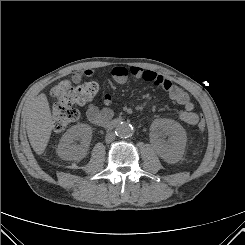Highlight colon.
<instances>
[{"mask_svg":"<svg viewBox=\"0 0 245 245\" xmlns=\"http://www.w3.org/2000/svg\"><path fill=\"white\" fill-rule=\"evenodd\" d=\"M98 84L94 81L84 82L80 85H72L69 81H61L52 89V95L56 99L52 108L53 129L56 132L65 130L79 117L74 104H83L92 100L98 93ZM200 132L205 129V122H198Z\"/></svg>","mask_w":245,"mask_h":245,"instance_id":"obj_1","label":"colon"}]
</instances>
